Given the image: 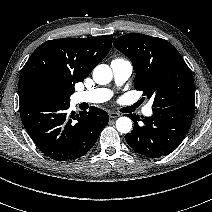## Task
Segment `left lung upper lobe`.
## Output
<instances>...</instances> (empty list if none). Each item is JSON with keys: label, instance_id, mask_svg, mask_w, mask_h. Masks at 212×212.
Returning <instances> with one entry per match:
<instances>
[{"label": "left lung upper lobe", "instance_id": "5c2ea615", "mask_svg": "<svg viewBox=\"0 0 212 212\" xmlns=\"http://www.w3.org/2000/svg\"><path fill=\"white\" fill-rule=\"evenodd\" d=\"M113 45L131 60L136 73L134 87L147 98H154V108L194 105L191 70L168 41L132 33L115 38Z\"/></svg>", "mask_w": 212, "mask_h": 212}]
</instances>
